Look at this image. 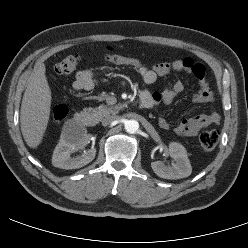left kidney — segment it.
<instances>
[{
	"mask_svg": "<svg viewBox=\"0 0 248 248\" xmlns=\"http://www.w3.org/2000/svg\"><path fill=\"white\" fill-rule=\"evenodd\" d=\"M169 153L175 162L171 166H167L161 161L152 162L151 167L154 173L164 179H180L190 176L192 167L184 146L180 143L171 142Z\"/></svg>",
	"mask_w": 248,
	"mask_h": 248,
	"instance_id": "left-kidney-1",
	"label": "left kidney"
}]
</instances>
